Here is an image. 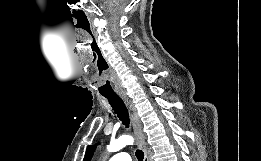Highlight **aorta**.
Here are the masks:
<instances>
[{"mask_svg":"<svg viewBox=\"0 0 261 161\" xmlns=\"http://www.w3.org/2000/svg\"><path fill=\"white\" fill-rule=\"evenodd\" d=\"M132 144H133V138L128 135H123L118 139L111 141L107 147V150L109 152H117L123 147H125L126 145H132Z\"/></svg>","mask_w":261,"mask_h":161,"instance_id":"1","label":"aorta"}]
</instances>
